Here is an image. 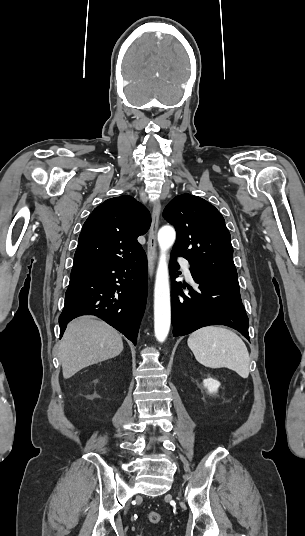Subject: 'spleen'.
Segmentation results:
<instances>
[{
	"instance_id": "3e777b00",
	"label": "spleen",
	"mask_w": 305,
	"mask_h": 536,
	"mask_svg": "<svg viewBox=\"0 0 305 536\" xmlns=\"http://www.w3.org/2000/svg\"><path fill=\"white\" fill-rule=\"evenodd\" d=\"M197 362L206 368H229L248 378L250 358L241 338L222 326H207L193 332L187 342Z\"/></svg>"
}]
</instances>
